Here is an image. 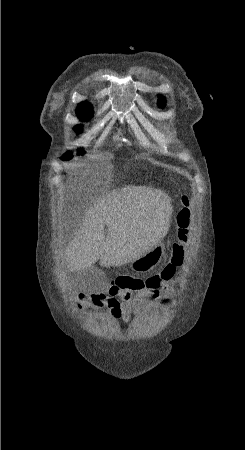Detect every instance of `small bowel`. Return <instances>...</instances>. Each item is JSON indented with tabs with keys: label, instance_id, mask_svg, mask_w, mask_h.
Returning <instances> with one entry per match:
<instances>
[{
	"label": "small bowel",
	"instance_id": "small-bowel-1",
	"mask_svg": "<svg viewBox=\"0 0 245 450\" xmlns=\"http://www.w3.org/2000/svg\"><path fill=\"white\" fill-rule=\"evenodd\" d=\"M177 272V268L169 270L165 267L160 273L145 279L144 287L136 293L112 287L108 294L92 295L90 301L94 306L107 307L116 322H129L139 313L153 311L154 303H159L160 306L171 303L165 293L172 290L171 282Z\"/></svg>",
	"mask_w": 245,
	"mask_h": 450
}]
</instances>
